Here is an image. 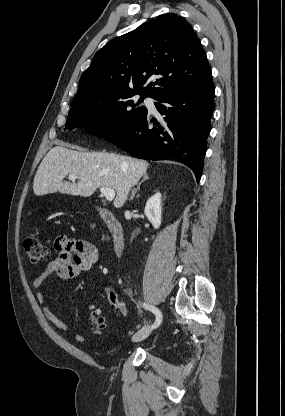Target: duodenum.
<instances>
[{"instance_id":"duodenum-1","label":"duodenum","mask_w":285,"mask_h":416,"mask_svg":"<svg viewBox=\"0 0 285 416\" xmlns=\"http://www.w3.org/2000/svg\"><path fill=\"white\" fill-rule=\"evenodd\" d=\"M99 214L104 222L105 230L109 233L113 244L114 250L117 254H120L124 246V231L117 217L110 211L100 209Z\"/></svg>"}]
</instances>
